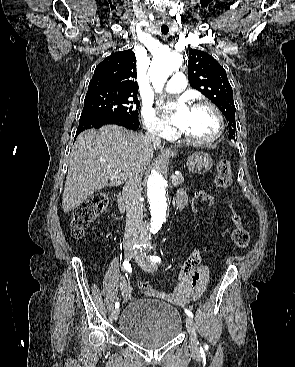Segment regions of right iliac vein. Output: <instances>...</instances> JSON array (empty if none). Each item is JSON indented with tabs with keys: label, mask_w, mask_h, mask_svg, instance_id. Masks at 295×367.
<instances>
[{
	"label": "right iliac vein",
	"mask_w": 295,
	"mask_h": 367,
	"mask_svg": "<svg viewBox=\"0 0 295 367\" xmlns=\"http://www.w3.org/2000/svg\"><path fill=\"white\" fill-rule=\"evenodd\" d=\"M133 256V251L131 249H125L124 251V258L126 261H129ZM120 314V309L115 308L112 312V316L114 320H117Z\"/></svg>",
	"instance_id": "1"
}]
</instances>
